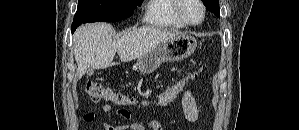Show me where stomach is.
I'll use <instances>...</instances> for the list:
<instances>
[{
    "label": "stomach",
    "mask_w": 299,
    "mask_h": 130,
    "mask_svg": "<svg viewBox=\"0 0 299 130\" xmlns=\"http://www.w3.org/2000/svg\"><path fill=\"white\" fill-rule=\"evenodd\" d=\"M196 47L197 41L193 36L177 35L139 57L137 62L132 65V70L144 74L152 73L163 62H174L187 58L194 53Z\"/></svg>",
    "instance_id": "0dacf381"
}]
</instances>
